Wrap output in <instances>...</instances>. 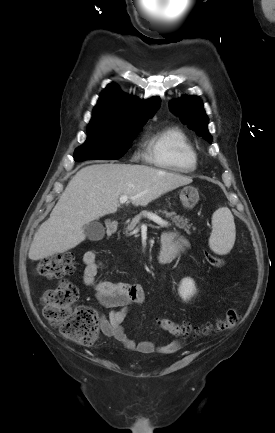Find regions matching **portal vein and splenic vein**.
I'll return each mask as SVG.
<instances>
[{
  "instance_id": "obj_1",
  "label": "portal vein and splenic vein",
  "mask_w": 275,
  "mask_h": 433,
  "mask_svg": "<svg viewBox=\"0 0 275 433\" xmlns=\"http://www.w3.org/2000/svg\"><path fill=\"white\" fill-rule=\"evenodd\" d=\"M128 199H130V197L126 196V195H122L119 199L120 203L123 204L125 202L128 201ZM147 217L152 220L153 222H155L156 224L160 225V226H166L167 222H165L163 219H161L160 217H158L157 215L154 214H147Z\"/></svg>"
}]
</instances>
